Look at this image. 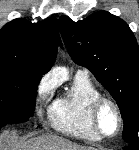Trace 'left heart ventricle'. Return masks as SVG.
<instances>
[{
    "mask_svg": "<svg viewBox=\"0 0 139 150\" xmlns=\"http://www.w3.org/2000/svg\"><path fill=\"white\" fill-rule=\"evenodd\" d=\"M98 120L103 133L113 135L116 132L118 126L117 117L110 105L105 104L102 106Z\"/></svg>",
    "mask_w": 139,
    "mask_h": 150,
    "instance_id": "b2bd125f",
    "label": "left heart ventricle"
}]
</instances>
